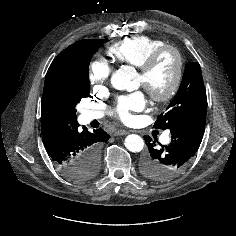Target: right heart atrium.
I'll return each mask as SVG.
<instances>
[{
    "label": "right heart atrium",
    "mask_w": 236,
    "mask_h": 236,
    "mask_svg": "<svg viewBox=\"0 0 236 236\" xmlns=\"http://www.w3.org/2000/svg\"><path fill=\"white\" fill-rule=\"evenodd\" d=\"M111 74V66L102 58L91 60L88 66V80L91 86L102 89L108 82Z\"/></svg>",
    "instance_id": "d8ad5b80"
}]
</instances>
